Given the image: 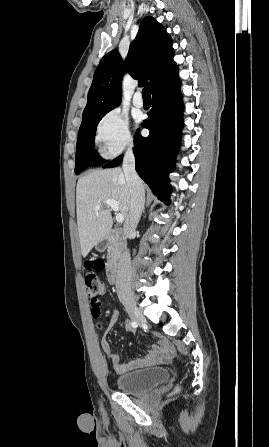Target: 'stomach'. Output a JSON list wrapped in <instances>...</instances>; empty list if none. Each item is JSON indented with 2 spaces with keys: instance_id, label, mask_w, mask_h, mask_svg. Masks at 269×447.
<instances>
[{
  "instance_id": "stomach-1",
  "label": "stomach",
  "mask_w": 269,
  "mask_h": 447,
  "mask_svg": "<svg viewBox=\"0 0 269 447\" xmlns=\"http://www.w3.org/2000/svg\"><path fill=\"white\" fill-rule=\"evenodd\" d=\"M106 247V243H104V245H100V243H97L96 245V249H98V251H101V249H105Z\"/></svg>"
}]
</instances>
